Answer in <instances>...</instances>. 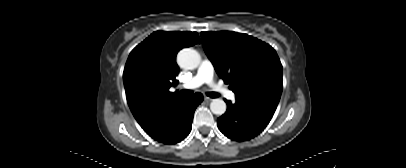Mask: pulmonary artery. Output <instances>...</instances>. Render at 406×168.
<instances>
[{
    "label": "pulmonary artery",
    "mask_w": 406,
    "mask_h": 168,
    "mask_svg": "<svg viewBox=\"0 0 406 168\" xmlns=\"http://www.w3.org/2000/svg\"><path fill=\"white\" fill-rule=\"evenodd\" d=\"M214 69L212 63L208 59H203L198 67L196 74L186 83L182 85L186 89H195L204 83H208L215 92L220 93L228 99L234 100L235 94L227 90L224 86L214 83Z\"/></svg>",
    "instance_id": "e3ab8cb5"
}]
</instances>
